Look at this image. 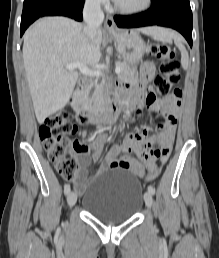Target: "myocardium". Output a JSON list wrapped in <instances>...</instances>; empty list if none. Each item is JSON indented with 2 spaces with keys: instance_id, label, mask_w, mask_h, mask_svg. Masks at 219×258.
Returning <instances> with one entry per match:
<instances>
[{
  "instance_id": "myocardium-1",
  "label": "myocardium",
  "mask_w": 219,
  "mask_h": 258,
  "mask_svg": "<svg viewBox=\"0 0 219 258\" xmlns=\"http://www.w3.org/2000/svg\"><path fill=\"white\" fill-rule=\"evenodd\" d=\"M153 0H144V2L137 7H124L120 4H118L116 1L114 3V7L115 9L125 15H136V14H140L144 11H146L147 9H149L152 5Z\"/></svg>"
}]
</instances>
